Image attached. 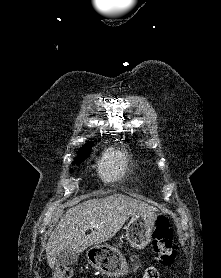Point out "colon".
<instances>
[{"mask_svg":"<svg viewBox=\"0 0 221 278\" xmlns=\"http://www.w3.org/2000/svg\"><path fill=\"white\" fill-rule=\"evenodd\" d=\"M173 231L168 220L159 216L152 234V246L160 265L171 266L176 259V251L173 247ZM151 277L158 278L153 269L147 272ZM74 270L70 266H58L52 272V278H72Z\"/></svg>","mask_w":221,"mask_h":278,"instance_id":"1","label":"colon"}]
</instances>
